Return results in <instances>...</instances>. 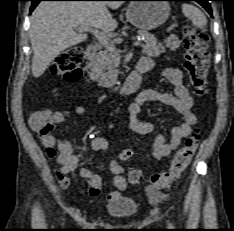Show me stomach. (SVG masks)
<instances>
[{"label": "stomach", "instance_id": "1", "mask_svg": "<svg viewBox=\"0 0 234 231\" xmlns=\"http://www.w3.org/2000/svg\"><path fill=\"white\" fill-rule=\"evenodd\" d=\"M169 15L170 4L164 0L130 2L126 10L127 20L141 31H149L161 26Z\"/></svg>", "mask_w": 234, "mask_h": 231}]
</instances>
